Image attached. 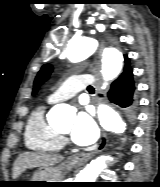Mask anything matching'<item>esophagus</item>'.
Returning <instances> with one entry per match:
<instances>
[{"mask_svg": "<svg viewBox=\"0 0 160 187\" xmlns=\"http://www.w3.org/2000/svg\"><path fill=\"white\" fill-rule=\"evenodd\" d=\"M103 50V45L100 46L99 51L97 52L95 63L98 65L101 60V54ZM107 138L105 134L102 135V139L100 140L99 144L96 146H93L91 149H89L86 152L79 153L77 155L73 156V162L78 164H84L87 161H89L93 156H95L97 153L103 151L107 147Z\"/></svg>", "mask_w": 160, "mask_h": 187, "instance_id": "1", "label": "esophagus"}]
</instances>
